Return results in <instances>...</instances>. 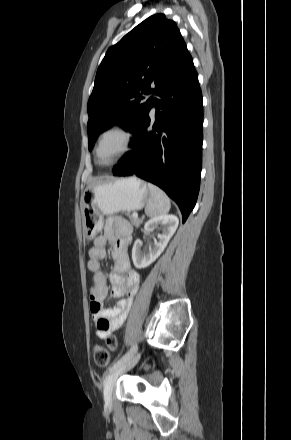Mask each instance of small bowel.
Instances as JSON below:
<instances>
[{
  "label": "small bowel",
  "mask_w": 291,
  "mask_h": 440,
  "mask_svg": "<svg viewBox=\"0 0 291 440\" xmlns=\"http://www.w3.org/2000/svg\"><path fill=\"white\" fill-rule=\"evenodd\" d=\"M107 242L113 245V254L117 262L116 269L110 274L113 285L111 298H121L115 307L102 309L101 302L106 298L108 287L104 272L101 269V259L105 255ZM132 243L130 226L123 220L110 218L104 224V231L98 236L88 250L87 267L94 274L91 287L90 311L93 315L97 338H105L113 330L119 328L126 319L134 296L139 289L140 277L131 270L130 259L127 253ZM107 319L108 325H103L102 320ZM148 366L147 369H150Z\"/></svg>",
  "instance_id": "1"
}]
</instances>
